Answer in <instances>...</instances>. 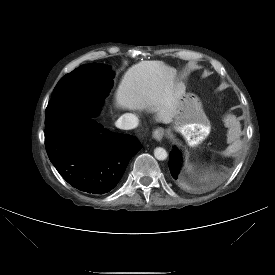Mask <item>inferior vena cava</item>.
Instances as JSON below:
<instances>
[{
  "label": "inferior vena cava",
  "instance_id": "1",
  "mask_svg": "<svg viewBox=\"0 0 275 275\" xmlns=\"http://www.w3.org/2000/svg\"><path fill=\"white\" fill-rule=\"evenodd\" d=\"M138 117L132 113L123 114L115 123L116 127L123 130L134 129L138 126Z\"/></svg>",
  "mask_w": 275,
  "mask_h": 275
}]
</instances>
